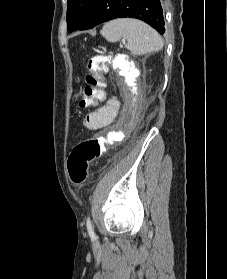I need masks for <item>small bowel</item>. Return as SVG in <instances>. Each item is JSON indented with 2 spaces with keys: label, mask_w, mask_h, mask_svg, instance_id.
Listing matches in <instances>:
<instances>
[{
  "label": "small bowel",
  "mask_w": 227,
  "mask_h": 279,
  "mask_svg": "<svg viewBox=\"0 0 227 279\" xmlns=\"http://www.w3.org/2000/svg\"><path fill=\"white\" fill-rule=\"evenodd\" d=\"M120 106L119 98L117 96H110L102 107L85 117L83 121L84 126L92 130L109 126L116 118Z\"/></svg>",
  "instance_id": "1"
}]
</instances>
